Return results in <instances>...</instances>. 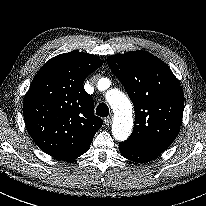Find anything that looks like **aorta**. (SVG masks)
<instances>
[{
  "instance_id": "obj_1",
  "label": "aorta",
  "mask_w": 206,
  "mask_h": 206,
  "mask_svg": "<svg viewBox=\"0 0 206 206\" xmlns=\"http://www.w3.org/2000/svg\"><path fill=\"white\" fill-rule=\"evenodd\" d=\"M106 100L114 112L112 134L116 140L124 141L130 136L133 128L132 104L118 89L109 90Z\"/></svg>"
}]
</instances>
